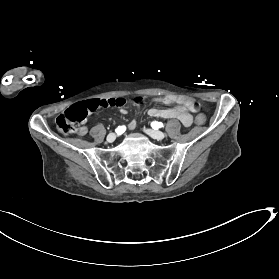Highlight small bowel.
Wrapping results in <instances>:
<instances>
[{
  "mask_svg": "<svg viewBox=\"0 0 279 279\" xmlns=\"http://www.w3.org/2000/svg\"><path fill=\"white\" fill-rule=\"evenodd\" d=\"M158 103L162 104H178L177 106L171 107V108H151L148 111V114L151 117H160V118H176L178 119L185 127H189L192 124V115L191 111L188 110L182 102H180L176 97L172 96H165V97H158L154 99ZM122 114H126L127 110L125 108H122L120 110ZM136 127V120L132 119L128 124V129L133 130ZM86 128L83 127L80 134H85Z\"/></svg>",
  "mask_w": 279,
  "mask_h": 279,
  "instance_id": "1",
  "label": "small bowel"
}]
</instances>
